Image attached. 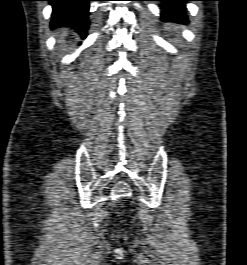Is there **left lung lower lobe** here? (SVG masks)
<instances>
[{"label": "left lung lower lobe", "mask_w": 247, "mask_h": 265, "mask_svg": "<svg viewBox=\"0 0 247 265\" xmlns=\"http://www.w3.org/2000/svg\"><path fill=\"white\" fill-rule=\"evenodd\" d=\"M161 1L162 5V18L176 19L180 21L186 20L185 6L186 1H197V0H154Z\"/></svg>", "instance_id": "0a47b994"}]
</instances>
